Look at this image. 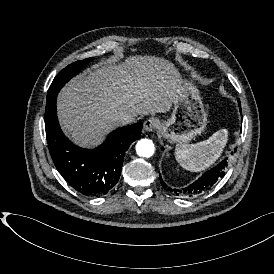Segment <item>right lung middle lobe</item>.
I'll use <instances>...</instances> for the list:
<instances>
[{
    "instance_id": "dd1d6c3e",
    "label": "right lung middle lobe",
    "mask_w": 274,
    "mask_h": 274,
    "mask_svg": "<svg viewBox=\"0 0 274 274\" xmlns=\"http://www.w3.org/2000/svg\"><path fill=\"white\" fill-rule=\"evenodd\" d=\"M92 60L93 57L81 61H76L59 72L49 87L47 97L56 95L67 81H69L73 76L77 75L80 70Z\"/></svg>"
}]
</instances>
